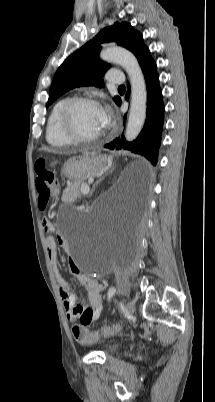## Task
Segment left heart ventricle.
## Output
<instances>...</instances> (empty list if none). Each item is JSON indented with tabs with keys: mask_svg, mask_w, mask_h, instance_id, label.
Masks as SVG:
<instances>
[{
	"mask_svg": "<svg viewBox=\"0 0 215 402\" xmlns=\"http://www.w3.org/2000/svg\"><path fill=\"white\" fill-rule=\"evenodd\" d=\"M74 129L83 136L103 132L102 109L92 104L78 105L72 113Z\"/></svg>",
	"mask_w": 215,
	"mask_h": 402,
	"instance_id": "obj_1",
	"label": "left heart ventricle"
}]
</instances>
